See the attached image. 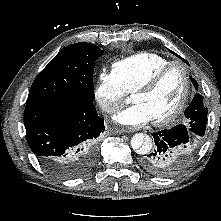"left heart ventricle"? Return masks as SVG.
<instances>
[{"instance_id":"obj_1","label":"left heart ventricle","mask_w":221,"mask_h":221,"mask_svg":"<svg viewBox=\"0 0 221 221\" xmlns=\"http://www.w3.org/2000/svg\"><path fill=\"white\" fill-rule=\"evenodd\" d=\"M183 90V73L179 67L175 66L165 74L154 90L133 95L132 102L143 105L153 120H156L174 110L181 99Z\"/></svg>"}]
</instances>
